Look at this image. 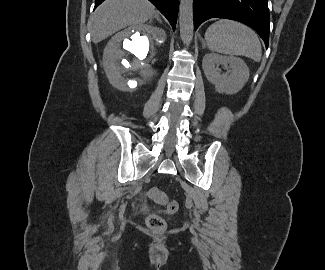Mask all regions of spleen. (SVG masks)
<instances>
[{"mask_svg":"<svg viewBox=\"0 0 325 270\" xmlns=\"http://www.w3.org/2000/svg\"><path fill=\"white\" fill-rule=\"evenodd\" d=\"M205 39L211 51L246 56L256 62L261 60L262 47L258 35L242 23L219 20L207 29Z\"/></svg>","mask_w":325,"mask_h":270,"instance_id":"obj_1","label":"spleen"}]
</instances>
